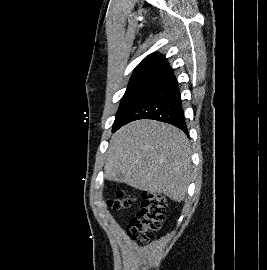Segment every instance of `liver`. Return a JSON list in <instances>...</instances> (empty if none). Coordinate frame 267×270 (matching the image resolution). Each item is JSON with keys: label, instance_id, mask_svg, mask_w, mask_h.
<instances>
[{"label": "liver", "instance_id": "1", "mask_svg": "<svg viewBox=\"0 0 267 270\" xmlns=\"http://www.w3.org/2000/svg\"><path fill=\"white\" fill-rule=\"evenodd\" d=\"M190 142L176 127L137 120L111 138L104 176L108 180L181 202L191 180Z\"/></svg>", "mask_w": 267, "mask_h": 270}]
</instances>
